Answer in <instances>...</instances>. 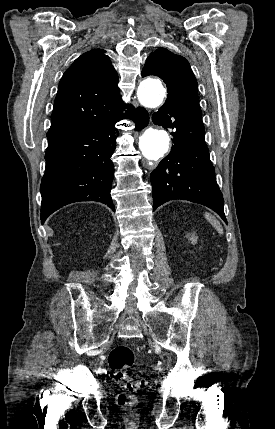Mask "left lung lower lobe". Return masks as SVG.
<instances>
[{"instance_id":"0a47b994","label":"left lung lower lobe","mask_w":275,"mask_h":429,"mask_svg":"<svg viewBox=\"0 0 275 429\" xmlns=\"http://www.w3.org/2000/svg\"><path fill=\"white\" fill-rule=\"evenodd\" d=\"M152 121L172 130L174 137L170 153L150 175L153 210L170 200H188L211 208L227 224L201 114L165 103L153 114Z\"/></svg>"}]
</instances>
